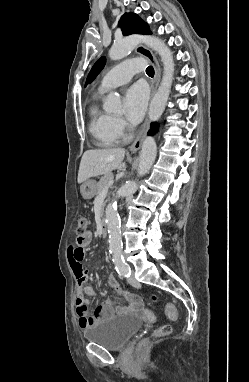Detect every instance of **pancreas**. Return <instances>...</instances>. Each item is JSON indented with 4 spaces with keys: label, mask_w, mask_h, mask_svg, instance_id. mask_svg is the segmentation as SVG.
Wrapping results in <instances>:
<instances>
[{
    "label": "pancreas",
    "mask_w": 249,
    "mask_h": 382,
    "mask_svg": "<svg viewBox=\"0 0 249 382\" xmlns=\"http://www.w3.org/2000/svg\"><path fill=\"white\" fill-rule=\"evenodd\" d=\"M113 174L111 172L106 173L103 177H101L100 181L97 184V193L103 191L107 186L108 182L113 180Z\"/></svg>",
    "instance_id": "obj_1"
}]
</instances>
